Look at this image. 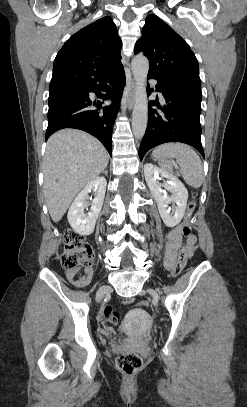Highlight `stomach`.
Returning <instances> with one entry per match:
<instances>
[{"label":"stomach","mask_w":247,"mask_h":407,"mask_svg":"<svg viewBox=\"0 0 247 407\" xmlns=\"http://www.w3.org/2000/svg\"><path fill=\"white\" fill-rule=\"evenodd\" d=\"M154 159H157L154 155H153Z\"/></svg>","instance_id":"0dacf381"}]
</instances>
